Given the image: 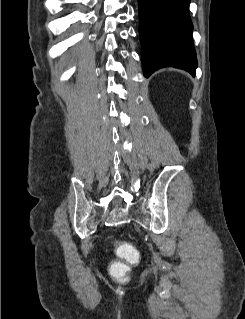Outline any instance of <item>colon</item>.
<instances>
[{
	"mask_svg": "<svg viewBox=\"0 0 245 319\" xmlns=\"http://www.w3.org/2000/svg\"><path fill=\"white\" fill-rule=\"evenodd\" d=\"M117 254L130 262H137L138 254L134 247L130 244L122 242L119 243L116 247ZM126 267L121 264H114L111 266V272L115 275L122 276L126 272Z\"/></svg>",
	"mask_w": 245,
	"mask_h": 319,
	"instance_id": "colon-1",
	"label": "colon"
}]
</instances>
